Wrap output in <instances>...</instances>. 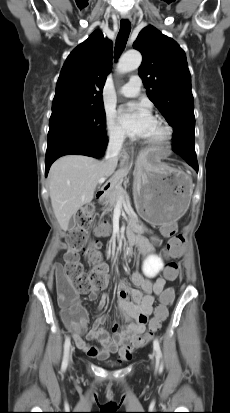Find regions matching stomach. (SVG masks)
<instances>
[{"mask_svg":"<svg viewBox=\"0 0 230 413\" xmlns=\"http://www.w3.org/2000/svg\"><path fill=\"white\" fill-rule=\"evenodd\" d=\"M193 193L191 177L182 170L140 159L134 170L133 195L138 214L152 225L174 222L187 211Z\"/></svg>","mask_w":230,"mask_h":413,"instance_id":"obj_1","label":"stomach"}]
</instances>
